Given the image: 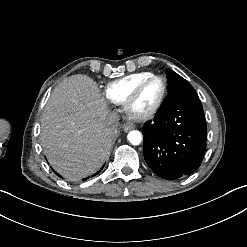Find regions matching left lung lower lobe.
Segmentation results:
<instances>
[{"label": "left lung lower lobe", "mask_w": 247, "mask_h": 247, "mask_svg": "<svg viewBox=\"0 0 247 247\" xmlns=\"http://www.w3.org/2000/svg\"><path fill=\"white\" fill-rule=\"evenodd\" d=\"M142 133L144 158L158 176L178 179L192 174L201 165L207 126L199 98L176 100L159 108Z\"/></svg>", "instance_id": "obj_1"}]
</instances>
